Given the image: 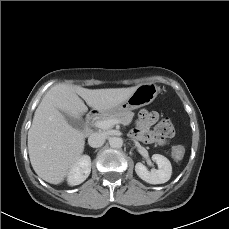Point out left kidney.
Wrapping results in <instances>:
<instances>
[{"instance_id":"obj_1","label":"left kidney","mask_w":229,"mask_h":229,"mask_svg":"<svg viewBox=\"0 0 229 229\" xmlns=\"http://www.w3.org/2000/svg\"><path fill=\"white\" fill-rule=\"evenodd\" d=\"M152 160L157 163L158 169L148 171L146 166L138 162L135 165L137 175L147 183L162 184L167 182L172 174V166L170 161L163 155L154 154Z\"/></svg>"}]
</instances>
